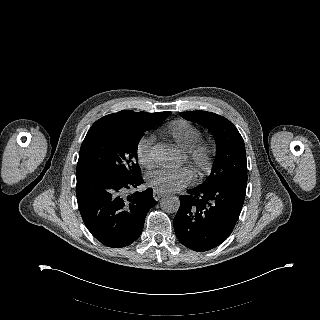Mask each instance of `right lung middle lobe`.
Listing matches in <instances>:
<instances>
[{"instance_id":"obj_1","label":"right lung middle lobe","mask_w":320,"mask_h":320,"mask_svg":"<svg viewBox=\"0 0 320 320\" xmlns=\"http://www.w3.org/2000/svg\"><path fill=\"white\" fill-rule=\"evenodd\" d=\"M143 133L108 132L84 140L77 169L96 167L126 179L137 177V148Z\"/></svg>"}]
</instances>
